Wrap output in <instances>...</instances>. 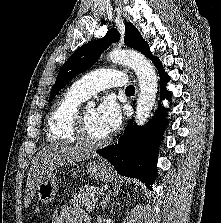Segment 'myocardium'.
Wrapping results in <instances>:
<instances>
[{"label": "myocardium", "mask_w": 221, "mask_h": 223, "mask_svg": "<svg viewBox=\"0 0 221 223\" xmlns=\"http://www.w3.org/2000/svg\"><path fill=\"white\" fill-rule=\"evenodd\" d=\"M71 130L75 139L81 145L88 148H99L105 146L110 141L109 137H105L101 140H92L87 136L86 122L83 111H77L76 119Z\"/></svg>", "instance_id": "obj_1"}]
</instances>
